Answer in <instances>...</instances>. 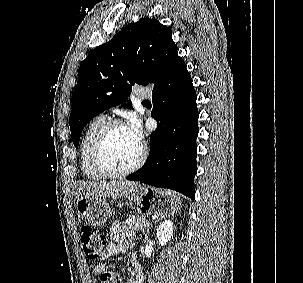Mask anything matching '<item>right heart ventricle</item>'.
Wrapping results in <instances>:
<instances>
[{"mask_svg":"<svg viewBox=\"0 0 303 283\" xmlns=\"http://www.w3.org/2000/svg\"><path fill=\"white\" fill-rule=\"evenodd\" d=\"M105 122L106 118L104 115L96 116L88 124L82 137V142L80 146L81 169L85 177L91 181H101L105 179V177L96 170L91 158V149L94 139Z\"/></svg>","mask_w":303,"mask_h":283,"instance_id":"e07e8e85","label":"right heart ventricle"}]
</instances>
